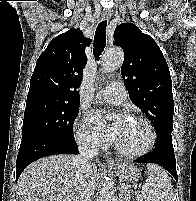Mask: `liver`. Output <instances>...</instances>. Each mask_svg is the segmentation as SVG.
<instances>
[{
  "mask_svg": "<svg viewBox=\"0 0 196 201\" xmlns=\"http://www.w3.org/2000/svg\"><path fill=\"white\" fill-rule=\"evenodd\" d=\"M74 158L59 154L30 164L17 182L19 201H79L82 193L93 195L97 166L91 162L78 176Z\"/></svg>",
  "mask_w": 196,
  "mask_h": 201,
  "instance_id": "6515ba94",
  "label": "liver"
}]
</instances>
